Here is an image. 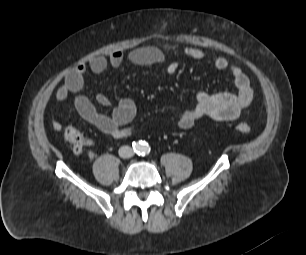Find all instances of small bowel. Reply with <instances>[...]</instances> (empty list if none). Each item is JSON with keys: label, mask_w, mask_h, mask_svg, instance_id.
I'll return each mask as SVG.
<instances>
[{"label": "small bowel", "mask_w": 306, "mask_h": 255, "mask_svg": "<svg viewBox=\"0 0 306 255\" xmlns=\"http://www.w3.org/2000/svg\"><path fill=\"white\" fill-rule=\"evenodd\" d=\"M178 55L194 60H203L208 56L204 50L193 47L182 49ZM125 61L140 66L162 65L166 62V55L155 46H146L134 49L127 54L121 50H114L107 57L96 56L88 63H80L73 67L67 73L56 93L57 100L62 103L74 96L73 103L78 114L89 124L115 139L124 138L131 134V128L128 124L137 115L136 103L130 98H123L111 111L101 113L87 97L80 95L79 92L83 88L84 76L88 70L100 74L109 66L119 68ZM213 65L218 71L229 72L236 91L215 94L197 93L195 104L185 107L178 116L177 126L180 129H189L204 117H210L216 121L236 120L240 117L242 110L252 102L253 89L249 77L239 66L230 64L223 56L215 57ZM179 67V59H173L168 63L166 72L172 75ZM96 99L101 106L110 104V100L105 94H98ZM52 127L55 130H60L62 124L53 119Z\"/></svg>", "instance_id": "1"}]
</instances>
